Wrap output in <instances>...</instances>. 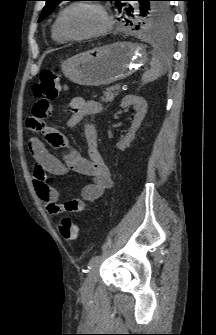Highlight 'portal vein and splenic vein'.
Masks as SVG:
<instances>
[{"mask_svg": "<svg viewBox=\"0 0 216 335\" xmlns=\"http://www.w3.org/2000/svg\"><path fill=\"white\" fill-rule=\"evenodd\" d=\"M121 89V85L119 84V83H117L116 85H115V90H120Z\"/></svg>", "mask_w": 216, "mask_h": 335, "instance_id": "1", "label": "portal vein and splenic vein"}]
</instances>
